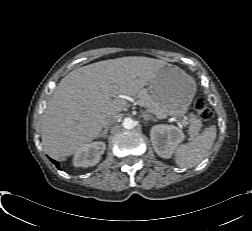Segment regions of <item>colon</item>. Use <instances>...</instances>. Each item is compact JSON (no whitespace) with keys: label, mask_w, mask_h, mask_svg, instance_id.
<instances>
[{"label":"colon","mask_w":252,"mask_h":231,"mask_svg":"<svg viewBox=\"0 0 252 231\" xmlns=\"http://www.w3.org/2000/svg\"><path fill=\"white\" fill-rule=\"evenodd\" d=\"M194 109L198 115V117L203 122L211 121L213 117L212 110L206 105L205 101L201 98H197L194 101Z\"/></svg>","instance_id":"obj_1"}]
</instances>
